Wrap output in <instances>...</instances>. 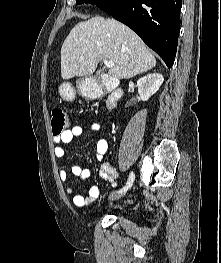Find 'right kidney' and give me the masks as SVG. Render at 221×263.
Masks as SVG:
<instances>
[{"mask_svg": "<svg viewBox=\"0 0 221 263\" xmlns=\"http://www.w3.org/2000/svg\"><path fill=\"white\" fill-rule=\"evenodd\" d=\"M164 79L159 73H151L137 81L138 92L142 101H147L162 85Z\"/></svg>", "mask_w": 221, "mask_h": 263, "instance_id": "obj_1", "label": "right kidney"}]
</instances>
